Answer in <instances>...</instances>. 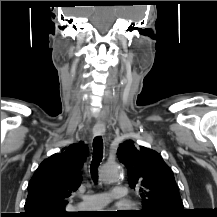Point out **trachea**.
<instances>
[{
	"label": "trachea",
	"instance_id": "3493384b",
	"mask_svg": "<svg viewBox=\"0 0 217 217\" xmlns=\"http://www.w3.org/2000/svg\"><path fill=\"white\" fill-rule=\"evenodd\" d=\"M103 158V140L98 136L93 140V159L90 166V171L94 182L98 180L97 167Z\"/></svg>",
	"mask_w": 217,
	"mask_h": 217
}]
</instances>
